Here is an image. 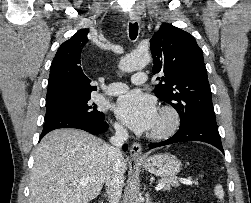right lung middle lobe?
<instances>
[{"label":"right lung middle lobe","instance_id":"right-lung-middle-lobe-1","mask_svg":"<svg viewBox=\"0 0 251 203\" xmlns=\"http://www.w3.org/2000/svg\"><path fill=\"white\" fill-rule=\"evenodd\" d=\"M91 98L75 101L55 107L46 108L45 120L63 115H84L93 119L104 121V114L89 102Z\"/></svg>","mask_w":251,"mask_h":203}]
</instances>
